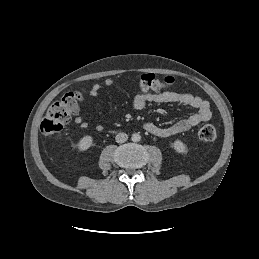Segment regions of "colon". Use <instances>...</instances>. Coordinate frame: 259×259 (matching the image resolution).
Listing matches in <instances>:
<instances>
[{
    "label": "colon",
    "mask_w": 259,
    "mask_h": 259,
    "mask_svg": "<svg viewBox=\"0 0 259 259\" xmlns=\"http://www.w3.org/2000/svg\"><path fill=\"white\" fill-rule=\"evenodd\" d=\"M174 84L175 79L171 76L159 79L153 74H146L141 77L139 87L142 92L149 93L170 88ZM82 100L83 92L74 91L66 93L59 101L54 102L41 122V132L46 136L61 134L72 117L78 114ZM198 137L204 142L213 141L216 138V130L212 125H204L199 129Z\"/></svg>",
    "instance_id": "colon-1"
}]
</instances>
